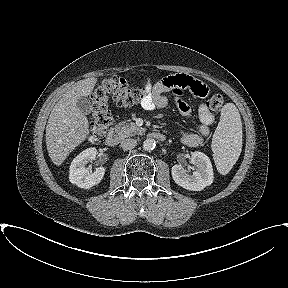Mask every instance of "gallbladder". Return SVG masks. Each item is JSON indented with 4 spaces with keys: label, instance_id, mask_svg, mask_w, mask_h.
I'll return each instance as SVG.
<instances>
[{
    "label": "gallbladder",
    "instance_id": "obj_1",
    "mask_svg": "<svg viewBox=\"0 0 288 288\" xmlns=\"http://www.w3.org/2000/svg\"><path fill=\"white\" fill-rule=\"evenodd\" d=\"M77 107L85 115H88L91 113V104L86 97H81L78 99Z\"/></svg>",
    "mask_w": 288,
    "mask_h": 288
}]
</instances>
